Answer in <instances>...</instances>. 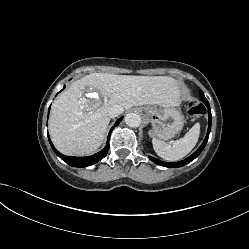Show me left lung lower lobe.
I'll use <instances>...</instances> for the list:
<instances>
[{
	"label": "left lung lower lobe",
	"mask_w": 249,
	"mask_h": 249,
	"mask_svg": "<svg viewBox=\"0 0 249 249\" xmlns=\"http://www.w3.org/2000/svg\"><path fill=\"white\" fill-rule=\"evenodd\" d=\"M201 97V100L203 101V103L207 106V108L210 110V106H209V102L208 100L205 98L204 94L203 95H200ZM208 114H209V126H208V130H207V134H206V137L203 141V143L201 144V146L191 155L189 156L188 158L182 160V161H179V162H174V163H168V162H163V161H160L154 157H151L149 156V159L151 161H153L154 163L160 165V166H163V167H168V168H176V167H182L188 163H190L192 160H194L196 157L199 156V154L202 152V150L204 149L207 141H208V138H209V133L211 131V121H212V115L210 113V111H208Z\"/></svg>",
	"instance_id": "obj_1"
}]
</instances>
